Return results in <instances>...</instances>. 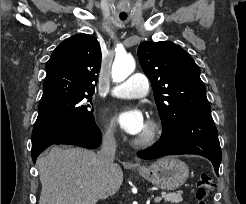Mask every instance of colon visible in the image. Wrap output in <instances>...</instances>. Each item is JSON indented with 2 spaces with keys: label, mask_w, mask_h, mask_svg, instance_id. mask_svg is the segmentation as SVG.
Masks as SVG:
<instances>
[{
  "label": "colon",
  "mask_w": 246,
  "mask_h": 204,
  "mask_svg": "<svg viewBox=\"0 0 246 204\" xmlns=\"http://www.w3.org/2000/svg\"><path fill=\"white\" fill-rule=\"evenodd\" d=\"M196 188L198 204H207V197L215 188V184L211 176L201 174L197 180Z\"/></svg>",
  "instance_id": "obj_1"
}]
</instances>
